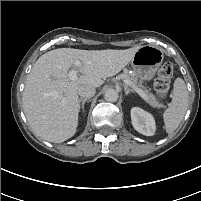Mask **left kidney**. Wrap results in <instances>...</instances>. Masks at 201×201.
Returning a JSON list of instances; mask_svg holds the SVG:
<instances>
[{
    "label": "left kidney",
    "mask_w": 201,
    "mask_h": 201,
    "mask_svg": "<svg viewBox=\"0 0 201 201\" xmlns=\"http://www.w3.org/2000/svg\"><path fill=\"white\" fill-rule=\"evenodd\" d=\"M131 120L133 127L139 133L146 136L154 135L156 125L152 114L139 107H133L131 109Z\"/></svg>",
    "instance_id": "left-kidney-1"
}]
</instances>
